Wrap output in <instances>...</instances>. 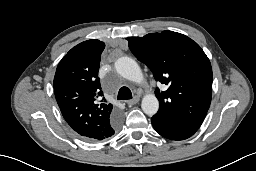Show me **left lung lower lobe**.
<instances>
[{
  "mask_svg": "<svg viewBox=\"0 0 256 171\" xmlns=\"http://www.w3.org/2000/svg\"><path fill=\"white\" fill-rule=\"evenodd\" d=\"M151 122L157 133L171 140H184L194 134L184 130L174 118L166 115H154Z\"/></svg>",
  "mask_w": 256,
  "mask_h": 171,
  "instance_id": "obj_1",
  "label": "left lung lower lobe"
}]
</instances>
